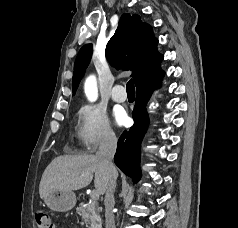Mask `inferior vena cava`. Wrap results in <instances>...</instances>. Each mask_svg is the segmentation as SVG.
<instances>
[{
  "mask_svg": "<svg viewBox=\"0 0 238 228\" xmlns=\"http://www.w3.org/2000/svg\"><path fill=\"white\" fill-rule=\"evenodd\" d=\"M117 140L116 136L112 132H108L102 139L97 156L100 157L109 171V181L105 192V228H116L114 220V191L116 187V168L112 162L114 154L116 152Z\"/></svg>",
  "mask_w": 238,
  "mask_h": 228,
  "instance_id": "1",
  "label": "inferior vena cava"
}]
</instances>
